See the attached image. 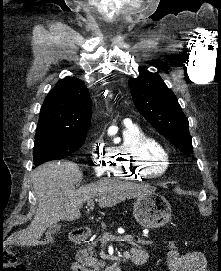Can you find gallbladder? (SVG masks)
<instances>
[{
  "mask_svg": "<svg viewBox=\"0 0 221 271\" xmlns=\"http://www.w3.org/2000/svg\"><path fill=\"white\" fill-rule=\"evenodd\" d=\"M61 225H58V223H55V225H50V227H47L44 235H45V241H52V235L53 233H58L60 231Z\"/></svg>",
  "mask_w": 221,
  "mask_h": 271,
  "instance_id": "bac80fb5",
  "label": "gallbladder"
}]
</instances>
